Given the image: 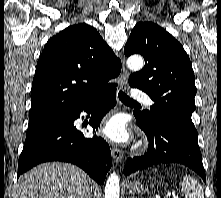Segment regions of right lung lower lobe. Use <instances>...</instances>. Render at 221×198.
Masks as SVG:
<instances>
[{
  "label": "right lung lower lobe",
  "instance_id": "right-lung-lower-lobe-1",
  "mask_svg": "<svg viewBox=\"0 0 221 198\" xmlns=\"http://www.w3.org/2000/svg\"><path fill=\"white\" fill-rule=\"evenodd\" d=\"M115 105L116 85L70 114L67 120L54 122L26 135L18 161V177L38 164L63 161L81 167L97 183L103 185L112 165L109 145L96 136L84 138L85 130L74 126V121L82 111L92 112L89 124L97 129L103 116Z\"/></svg>",
  "mask_w": 221,
  "mask_h": 198
}]
</instances>
